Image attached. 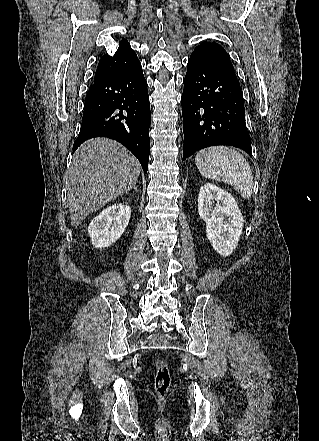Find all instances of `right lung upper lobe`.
I'll use <instances>...</instances> for the list:
<instances>
[{
    "label": "right lung upper lobe",
    "instance_id": "obj_1",
    "mask_svg": "<svg viewBox=\"0 0 319 441\" xmlns=\"http://www.w3.org/2000/svg\"><path fill=\"white\" fill-rule=\"evenodd\" d=\"M139 63L136 53L126 39L119 41V47L113 56L103 55L98 63L94 83L110 77Z\"/></svg>",
    "mask_w": 319,
    "mask_h": 441
}]
</instances>
